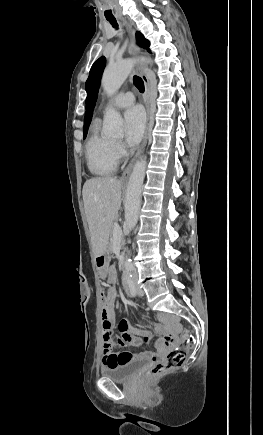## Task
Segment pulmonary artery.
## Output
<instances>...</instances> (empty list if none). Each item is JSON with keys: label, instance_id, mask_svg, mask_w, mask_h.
<instances>
[{"label": "pulmonary artery", "instance_id": "1", "mask_svg": "<svg viewBox=\"0 0 263 435\" xmlns=\"http://www.w3.org/2000/svg\"><path fill=\"white\" fill-rule=\"evenodd\" d=\"M134 95L130 91H122L118 93L111 101L110 105L115 108H126L134 103Z\"/></svg>", "mask_w": 263, "mask_h": 435}]
</instances>
